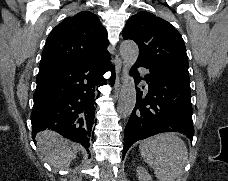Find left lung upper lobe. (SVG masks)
I'll return each mask as SVG.
<instances>
[{"mask_svg": "<svg viewBox=\"0 0 228 181\" xmlns=\"http://www.w3.org/2000/svg\"><path fill=\"white\" fill-rule=\"evenodd\" d=\"M122 35L137 43L139 60L163 64L189 75L182 36L164 19L146 11L137 13L129 18Z\"/></svg>", "mask_w": 228, "mask_h": 181, "instance_id": "1", "label": "left lung upper lobe"}]
</instances>
